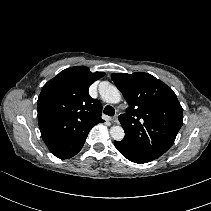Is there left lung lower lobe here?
<instances>
[{
	"mask_svg": "<svg viewBox=\"0 0 211 211\" xmlns=\"http://www.w3.org/2000/svg\"><path fill=\"white\" fill-rule=\"evenodd\" d=\"M115 147L118 151L128 160L135 162V163H147L150 162L149 160L144 159L143 157L139 156L138 154L134 153L125 143L122 141H115Z\"/></svg>",
	"mask_w": 211,
	"mask_h": 211,
	"instance_id": "0a47b994",
	"label": "left lung lower lobe"
}]
</instances>
